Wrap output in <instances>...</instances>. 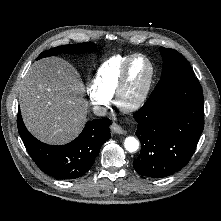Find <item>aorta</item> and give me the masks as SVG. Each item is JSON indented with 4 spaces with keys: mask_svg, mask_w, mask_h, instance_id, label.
I'll list each match as a JSON object with an SVG mask.
<instances>
[{
    "mask_svg": "<svg viewBox=\"0 0 221 221\" xmlns=\"http://www.w3.org/2000/svg\"><path fill=\"white\" fill-rule=\"evenodd\" d=\"M124 147L128 152H135L139 148V142L135 137L129 136L124 141Z\"/></svg>",
    "mask_w": 221,
    "mask_h": 221,
    "instance_id": "1",
    "label": "aorta"
}]
</instances>
